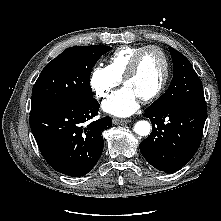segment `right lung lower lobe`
<instances>
[{"label": "right lung lower lobe", "mask_w": 221, "mask_h": 221, "mask_svg": "<svg viewBox=\"0 0 221 221\" xmlns=\"http://www.w3.org/2000/svg\"><path fill=\"white\" fill-rule=\"evenodd\" d=\"M98 110L95 98L31 108L32 133L41 154L54 170L80 177L95 166L103 151L102 132L112 126L109 116L86 123Z\"/></svg>", "instance_id": "right-lung-lower-lobe-1"}]
</instances>
